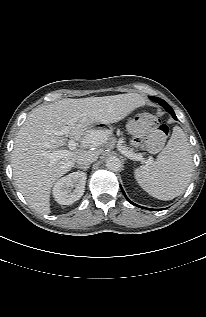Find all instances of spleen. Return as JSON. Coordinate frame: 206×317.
Segmentation results:
<instances>
[{
	"instance_id": "3e777b00",
	"label": "spleen",
	"mask_w": 206,
	"mask_h": 317,
	"mask_svg": "<svg viewBox=\"0 0 206 317\" xmlns=\"http://www.w3.org/2000/svg\"><path fill=\"white\" fill-rule=\"evenodd\" d=\"M193 172L190 146L179 126L173 128L166 147L156 161L135 169L138 184L151 196L172 200L187 188Z\"/></svg>"
}]
</instances>
